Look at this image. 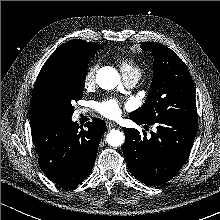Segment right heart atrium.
I'll return each instance as SVG.
<instances>
[{"label":"right heart atrium","mask_w":220,"mask_h":220,"mask_svg":"<svg viewBox=\"0 0 220 220\" xmlns=\"http://www.w3.org/2000/svg\"><path fill=\"white\" fill-rule=\"evenodd\" d=\"M97 69H98L97 63H94L87 69L84 75V86L85 87L91 86L95 82V75H96Z\"/></svg>","instance_id":"obj_1"}]
</instances>
